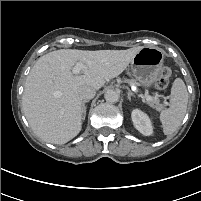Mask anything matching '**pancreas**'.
<instances>
[{
  "instance_id": "obj_1",
  "label": "pancreas",
  "mask_w": 201,
  "mask_h": 201,
  "mask_svg": "<svg viewBox=\"0 0 201 201\" xmlns=\"http://www.w3.org/2000/svg\"><path fill=\"white\" fill-rule=\"evenodd\" d=\"M128 82H129L130 85H135L136 84L135 80H129ZM148 104L152 108L157 109L158 111H160L163 108L162 104H160V102H159V100H158L157 97H153V100L152 101H148Z\"/></svg>"
}]
</instances>
